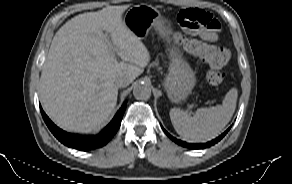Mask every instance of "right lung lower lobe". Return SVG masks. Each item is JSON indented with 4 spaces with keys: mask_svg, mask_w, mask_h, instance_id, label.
<instances>
[{
    "mask_svg": "<svg viewBox=\"0 0 292 184\" xmlns=\"http://www.w3.org/2000/svg\"><path fill=\"white\" fill-rule=\"evenodd\" d=\"M126 103L122 105L120 110L116 113L112 121L97 135L88 137H79L75 134L67 133L60 128H58L44 113L40 106L42 117L53 133V135L63 144L68 147L78 149L81 151L93 150L95 148H100L108 143V141L115 135L118 131L123 114L125 112Z\"/></svg>",
    "mask_w": 292,
    "mask_h": 184,
    "instance_id": "1",
    "label": "right lung lower lobe"
}]
</instances>
